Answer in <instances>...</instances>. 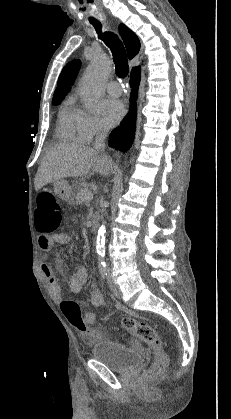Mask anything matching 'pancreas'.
<instances>
[{
	"instance_id": "pancreas-1",
	"label": "pancreas",
	"mask_w": 231,
	"mask_h": 419,
	"mask_svg": "<svg viewBox=\"0 0 231 419\" xmlns=\"http://www.w3.org/2000/svg\"><path fill=\"white\" fill-rule=\"evenodd\" d=\"M77 194H76V204L78 205H82L85 202V194L86 193H91V190L87 187H83V188H77L76 190Z\"/></svg>"
}]
</instances>
